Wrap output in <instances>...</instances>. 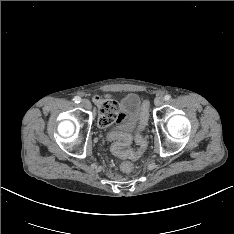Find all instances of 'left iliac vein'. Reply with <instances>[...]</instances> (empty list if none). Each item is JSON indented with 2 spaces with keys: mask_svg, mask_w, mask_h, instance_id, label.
Returning a JSON list of instances; mask_svg holds the SVG:
<instances>
[{
  "mask_svg": "<svg viewBox=\"0 0 234 234\" xmlns=\"http://www.w3.org/2000/svg\"><path fill=\"white\" fill-rule=\"evenodd\" d=\"M154 103L156 106H161L164 103V98L162 96H158L155 98Z\"/></svg>",
  "mask_w": 234,
  "mask_h": 234,
  "instance_id": "1",
  "label": "left iliac vein"
}]
</instances>
